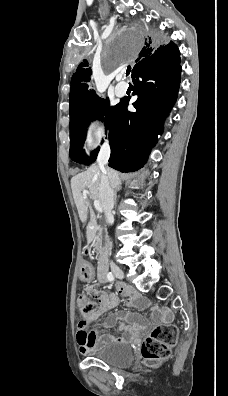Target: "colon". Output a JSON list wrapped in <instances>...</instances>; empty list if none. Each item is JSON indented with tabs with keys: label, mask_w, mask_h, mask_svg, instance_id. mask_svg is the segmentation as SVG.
I'll return each instance as SVG.
<instances>
[{
	"label": "colon",
	"mask_w": 228,
	"mask_h": 396,
	"mask_svg": "<svg viewBox=\"0 0 228 396\" xmlns=\"http://www.w3.org/2000/svg\"><path fill=\"white\" fill-rule=\"evenodd\" d=\"M77 306L80 312L79 326L85 328L92 314L97 310L98 304L86 294H79ZM177 328L171 324H163L155 327L143 340L141 356L145 365L156 366L162 363L170 355L172 347L177 342Z\"/></svg>",
	"instance_id": "obj_1"
}]
</instances>
